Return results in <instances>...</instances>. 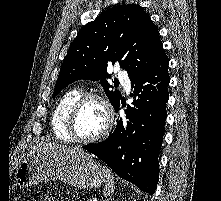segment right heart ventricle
Returning <instances> with one entry per match:
<instances>
[{
  "instance_id": "obj_1",
  "label": "right heart ventricle",
  "mask_w": 221,
  "mask_h": 201,
  "mask_svg": "<svg viewBox=\"0 0 221 201\" xmlns=\"http://www.w3.org/2000/svg\"><path fill=\"white\" fill-rule=\"evenodd\" d=\"M83 94L80 88L65 92L56 104L51 117V127L55 137L64 142H72L67 132V117L73 104Z\"/></svg>"
}]
</instances>
